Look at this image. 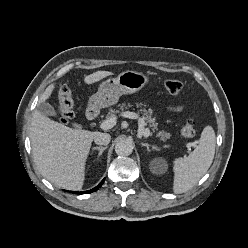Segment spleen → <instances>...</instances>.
Instances as JSON below:
<instances>
[{
  "label": "spleen",
  "mask_w": 248,
  "mask_h": 248,
  "mask_svg": "<svg viewBox=\"0 0 248 248\" xmlns=\"http://www.w3.org/2000/svg\"><path fill=\"white\" fill-rule=\"evenodd\" d=\"M215 144V132L211 126H206L194 151L187 157L174 160V193L187 192L205 175L214 159Z\"/></svg>",
  "instance_id": "spleen-1"
}]
</instances>
